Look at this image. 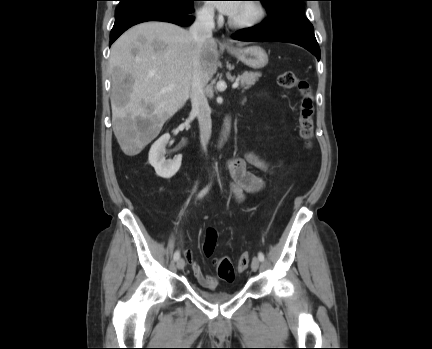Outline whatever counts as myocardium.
<instances>
[{"label":"myocardium","mask_w":432,"mask_h":349,"mask_svg":"<svg viewBox=\"0 0 432 349\" xmlns=\"http://www.w3.org/2000/svg\"><path fill=\"white\" fill-rule=\"evenodd\" d=\"M249 1H251L249 4H251L256 11L255 16L247 20H236L230 16L228 23L231 27L236 29H249L259 25L264 21L267 15V10L264 4L259 0Z\"/></svg>","instance_id":"myocardium-1"}]
</instances>
